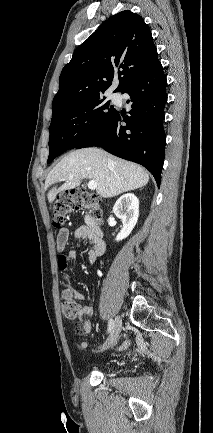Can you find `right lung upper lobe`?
<instances>
[{
	"mask_svg": "<svg viewBox=\"0 0 213 433\" xmlns=\"http://www.w3.org/2000/svg\"><path fill=\"white\" fill-rule=\"evenodd\" d=\"M156 58L157 49L143 18L129 10L115 14L74 51L63 68L52 102L53 115L100 96L114 77L119 79L115 92H121Z\"/></svg>",
	"mask_w": 213,
	"mask_h": 433,
	"instance_id": "obj_1",
	"label": "right lung upper lobe"
}]
</instances>
